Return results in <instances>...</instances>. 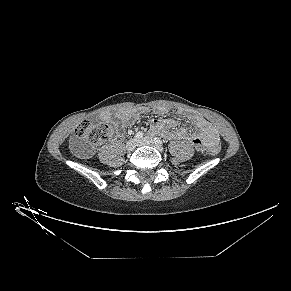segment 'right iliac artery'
<instances>
[{
	"label": "right iliac artery",
	"mask_w": 291,
	"mask_h": 291,
	"mask_svg": "<svg viewBox=\"0 0 291 291\" xmlns=\"http://www.w3.org/2000/svg\"><path fill=\"white\" fill-rule=\"evenodd\" d=\"M142 137H143V133L142 132H137L136 135H135V138L138 139V140L141 139Z\"/></svg>",
	"instance_id": "82829eb1"
}]
</instances>
